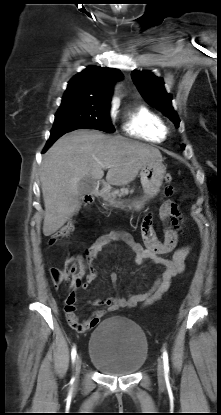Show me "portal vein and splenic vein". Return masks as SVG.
Wrapping results in <instances>:
<instances>
[{
  "instance_id": "obj_1",
  "label": "portal vein and splenic vein",
  "mask_w": 221,
  "mask_h": 415,
  "mask_svg": "<svg viewBox=\"0 0 221 415\" xmlns=\"http://www.w3.org/2000/svg\"><path fill=\"white\" fill-rule=\"evenodd\" d=\"M103 167L108 168V167H110V165L109 164H103Z\"/></svg>"
}]
</instances>
